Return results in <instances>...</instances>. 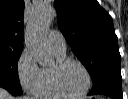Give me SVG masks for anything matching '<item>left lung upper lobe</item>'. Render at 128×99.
<instances>
[{
  "instance_id": "left-lung-upper-lobe-1",
  "label": "left lung upper lobe",
  "mask_w": 128,
  "mask_h": 99,
  "mask_svg": "<svg viewBox=\"0 0 128 99\" xmlns=\"http://www.w3.org/2000/svg\"><path fill=\"white\" fill-rule=\"evenodd\" d=\"M59 28L92 81L107 69H120L112 17L97 0H56Z\"/></svg>"
}]
</instances>
